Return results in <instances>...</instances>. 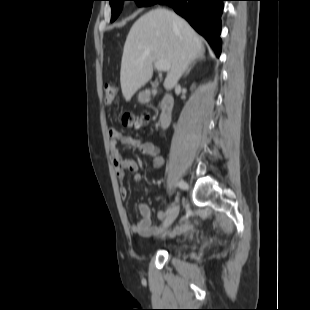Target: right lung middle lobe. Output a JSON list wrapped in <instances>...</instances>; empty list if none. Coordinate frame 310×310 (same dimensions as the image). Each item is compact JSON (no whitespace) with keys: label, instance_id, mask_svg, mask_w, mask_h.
Returning <instances> with one entry per match:
<instances>
[{"label":"right lung middle lobe","instance_id":"obj_1","mask_svg":"<svg viewBox=\"0 0 310 310\" xmlns=\"http://www.w3.org/2000/svg\"><path fill=\"white\" fill-rule=\"evenodd\" d=\"M124 1H135L138 6H149L153 5L155 2V0H109L112 8L111 22H113L120 14Z\"/></svg>","mask_w":310,"mask_h":310}]
</instances>
